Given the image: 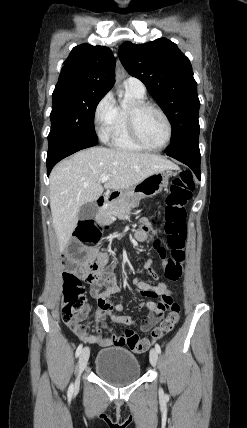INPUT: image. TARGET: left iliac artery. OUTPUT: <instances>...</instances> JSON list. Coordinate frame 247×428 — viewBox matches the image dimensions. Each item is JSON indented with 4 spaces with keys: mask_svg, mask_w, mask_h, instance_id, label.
<instances>
[{
    "mask_svg": "<svg viewBox=\"0 0 247 428\" xmlns=\"http://www.w3.org/2000/svg\"><path fill=\"white\" fill-rule=\"evenodd\" d=\"M155 349H156L158 354L161 353V348H160L159 344H157V343L155 344Z\"/></svg>",
    "mask_w": 247,
    "mask_h": 428,
    "instance_id": "obj_1",
    "label": "left iliac artery"
}]
</instances>
